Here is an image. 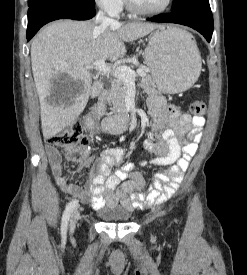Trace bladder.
Masks as SVG:
<instances>
[{
  "instance_id": "bladder-1",
  "label": "bladder",
  "mask_w": 247,
  "mask_h": 275,
  "mask_svg": "<svg viewBox=\"0 0 247 275\" xmlns=\"http://www.w3.org/2000/svg\"><path fill=\"white\" fill-rule=\"evenodd\" d=\"M97 213L105 223L123 224L127 223L131 217V211L120 207H101L97 209Z\"/></svg>"
}]
</instances>
